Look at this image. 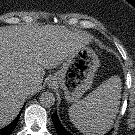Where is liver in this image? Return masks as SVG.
<instances>
[{
  "mask_svg": "<svg viewBox=\"0 0 135 135\" xmlns=\"http://www.w3.org/2000/svg\"><path fill=\"white\" fill-rule=\"evenodd\" d=\"M88 42L84 34L59 26L0 27V128L16 118L30 94L41 89L45 69L60 65Z\"/></svg>",
  "mask_w": 135,
  "mask_h": 135,
  "instance_id": "1",
  "label": "liver"
}]
</instances>
